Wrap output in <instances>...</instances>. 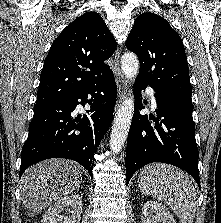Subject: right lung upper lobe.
<instances>
[{
  "instance_id": "obj_1",
  "label": "right lung upper lobe",
  "mask_w": 221,
  "mask_h": 223,
  "mask_svg": "<svg viewBox=\"0 0 221 223\" xmlns=\"http://www.w3.org/2000/svg\"><path fill=\"white\" fill-rule=\"evenodd\" d=\"M116 41L102 17L86 12L53 42L45 59L35 107L67 97L110 71L104 63Z\"/></svg>"
}]
</instances>
